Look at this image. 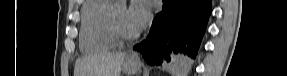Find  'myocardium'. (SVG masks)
<instances>
[{"mask_svg": "<svg viewBox=\"0 0 287 76\" xmlns=\"http://www.w3.org/2000/svg\"><path fill=\"white\" fill-rule=\"evenodd\" d=\"M108 24L111 32L114 34L117 40L121 41L134 40L138 38L140 35L139 31L129 32L119 24L115 13V6H113L109 11Z\"/></svg>", "mask_w": 287, "mask_h": 76, "instance_id": "obj_1", "label": "myocardium"}]
</instances>
